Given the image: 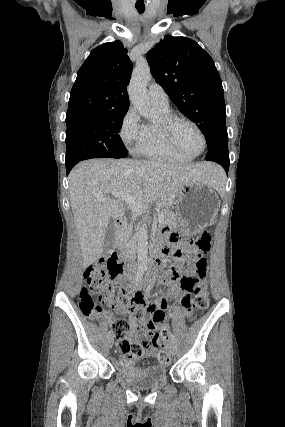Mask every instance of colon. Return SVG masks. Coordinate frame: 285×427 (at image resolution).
I'll use <instances>...</instances> for the list:
<instances>
[{
	"mask_svg": "<svg viewBox=\"0 0 285 427\" xmlns=\"http://www.w3.org/2000/svg\"><path fill=\"white\" fill-rule=\"evenodd\" d=\"M182 247L188 252L176 251L175 257L178 261H184L189 255L206 254L210 250V238L208 235H200L195 238H185ZM191 264L198 270L197 274L187 273L183 275L179 268H171L169 278L172 282L180 285L186 292L181 303L184 308L204 310L208 306L207 285L203 281L205 261L193 260ZM124 273L123 262L114 254L100 258L87 267L84 272V285L79 293V308L82 314L92 320H106L108 315L103 308L106 304L112 308H123L131 312L138 307L134 296L127 295L113 286V281L120 278ZM160 317L162 314L159 315ZM165 318V314H163ZM111 334L116 339L118 353L127 361L141 355L145 350L156 346L161 348L168 338V328L161 324L149 329L147 337L135 341L129 336L130 324L126 318H117L111 321ZM157 359L161 364L169 361V355L164 350H159Z\"/></svg>",
	"mask_w": 285,
	"mask_h": 427,
	"instance_id": "5ec220e1",
	"label": "colon"
}]
</instances>
